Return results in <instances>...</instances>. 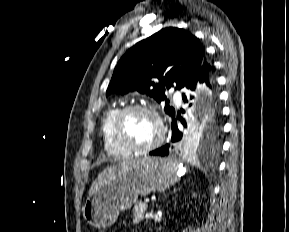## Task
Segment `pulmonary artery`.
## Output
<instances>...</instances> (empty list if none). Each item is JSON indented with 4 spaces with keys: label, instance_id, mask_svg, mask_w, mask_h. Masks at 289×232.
<instances>
[{
    "label": "pulmonary artery",
    "instance_id": "1",
    "mask_svg": "<svg viewBox=\"0 0 289 232\" xmlns=\"http://www.w3.org/2000/svg\"><path fill=\"white\" fill-rule=\"evenodd\" d=\"M174 98H175V101L180 104L181 103V95L178 91L175 92L174 94Z\"/></svg>",
    "mask_w": 289,
    "mask_h": 232
}]
</instances>
